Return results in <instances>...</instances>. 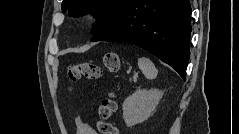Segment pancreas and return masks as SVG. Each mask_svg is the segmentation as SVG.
Segmentation results:
<instances>
[{
	"label": "pancreas",
	"instance_id": "pancreas-1",
	"mask_svg": "<svg viewBox=\"0 0 239 134\" xmlns=\"http://www.w3.org/2000/svg\"><path fill=\"white\" fill-rule=\"evenodd\" d=\"M137 78H138V75L137 74H134L133 78H130V82H137Z\"/></svg>",
	"mask_w": 239,
	"mask_h": 134
}]
</instances>
